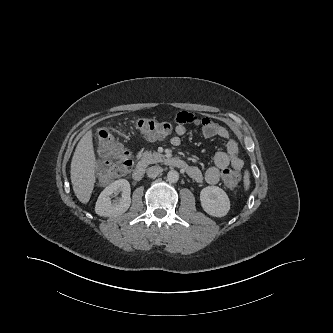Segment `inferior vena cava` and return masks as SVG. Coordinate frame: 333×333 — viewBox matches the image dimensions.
<instances>
[{
  "label": "inferior vena cava",
  "instance_id": "inferior-vena-cava-1",
  "mask_svg": "<svg viewBox=\"0 0 333 333\" xmlns=\"http://www.w3.org/2000/svg\"><path fill=\"white\" fill-rule=\"evenodd\" d=\"M162 171L160 166H152L147 169V175L150 178H156Z\"/></svg>",
  "mask_w": 333,
  "mask_h": 333
}]
</instances>
